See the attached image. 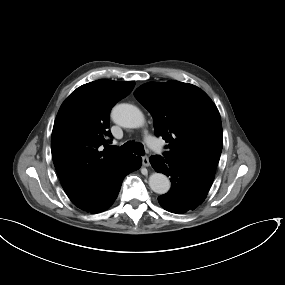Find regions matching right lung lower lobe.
<instances>
[{
	"label": "right lung lower lobe",
	"mask_w": 285,
	"mask_h": 285,
	"mask_svg": "<svg viewBox=\"0 0 285 285\" xmlns=\"http://www.w3.org/2000/svg\"><path fill=\"white\" fill-rule=\"evenodd\" d=\"M141 164V157H131L128 163L108 178L91 198L77 207L91 213H98L109 208L117 198L124 177L139 169Z\"/></svg>",
	"instance_id": "obj_1"
}]
</instances>
